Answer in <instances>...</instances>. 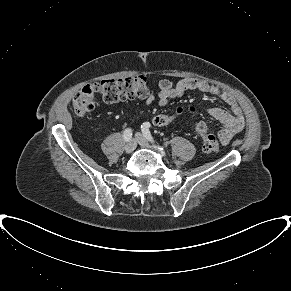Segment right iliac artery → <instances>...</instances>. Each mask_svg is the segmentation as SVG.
Wrapping results in <instances>:
<instances>
[{
    "mask_svg": "<svg viewBox=\"0 0 291 291\" xmlns=\"http://www.w3.org/2000/svg\"><path fill=\"white\" fill-rule=\"evenodd\" d=\"M132 137V130L130 128L125 129L123 132V138L125 141H129Z\"/></svg>",
    "mask_w": 291,
    "mask_h": 291,
    "instance_id": "obj_1",
    "label": "right iliac artery"
}]
</instances>
